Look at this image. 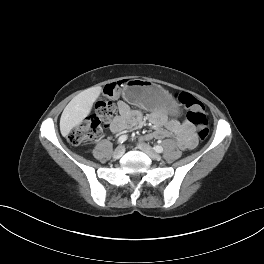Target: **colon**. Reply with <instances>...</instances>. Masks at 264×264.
<instances>
[{"mask_svg":"<svg viewBox=\"0 0 264 264\" xmlns=\"http://www.w3.org/2000/svg\"><path fill=\"white\" fill-rule=\"evenodd\" d=\"M120 84H110L105 89V97L100 99L95 107V113L82 122H80L69 134L68 140L73 145H82L93 137H96L107 125L115 113L114 103L111 97L118 92ZM179 102L187 110V118L190 123L195 126L196 134L199 139L203 140L207 137L208 119L204 105L193 95L189 93H180L178 95Z\"/></svg>","mask_w":264,"mask_h":264,"instance_id":"5ec220e1","label":"colon"}]
</instances>
